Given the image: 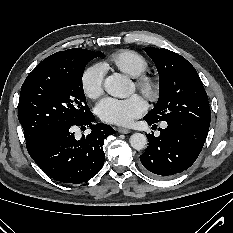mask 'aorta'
<instances>
[{
	"label": "aorta",
	"mask_w": 233,
	"mask_h": 233,
	"mask_svg": "<svg viewBox=\"0 0 233 233\" xmlns=\"http://www.w3.org/2000/svg\"><path fill=\"white\" fill-rule=\"evenodd\" d=\"M105 90L115 97H127L132 93L131 81L124 75L113 74L105 79ZM130 144L136 150H142L147 144V137L141 133H134L130 137Z\"/></svg>",
	"instance_id": "aorta-1"
}]
</instances>
